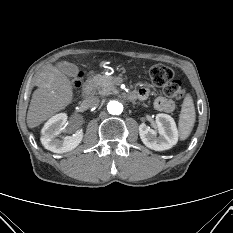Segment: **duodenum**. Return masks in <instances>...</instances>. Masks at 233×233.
I'll use <instances>...</instances> for the list:
<instances>
[{
  "mask_svg": "<svg viewBox=\"0 0 233 233\" xmlns=\"http://www.w3.org/2000/svg\"><path fill=\"white\" fill-rule=\"evenodd\" d=\"M93 92V85L91 83V80L89 79L83 86V94L85 98H90L92 96ZM128 98L130 100H136L138 98V95L136 92H130L128 93Z\"/></svg>",
  "mask_w": 233,
  "mask_h": 233,
  "instance_id": "1",
  "label": "duodenum"
}]
</instances>
